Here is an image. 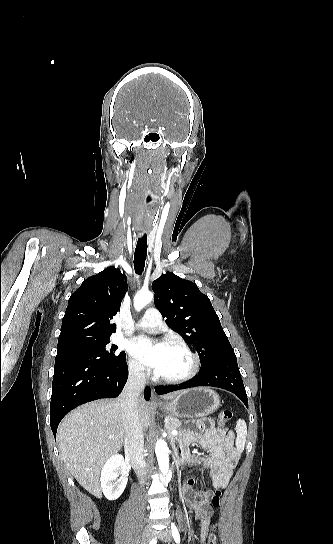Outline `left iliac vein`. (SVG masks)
I'll return each mask as SVG.
<instances>
[{"mask_svg": "<svg viewBox=\"0 0 333 544\" xmlns=\"http://www.w3.org/2000/svg\"><path fill=\"white\" fill-rule=\"evenodd\" d=\"M158 538L160 540H162L163 542L165 543H170L172 541V534H171V531L166 528L162 531H160L158 534H157Z\"/></svg>", "mask_w": 333, "mask_h": 544, "instance_id": "obj_1", "label": "left iliac vein"}]
</instances>
